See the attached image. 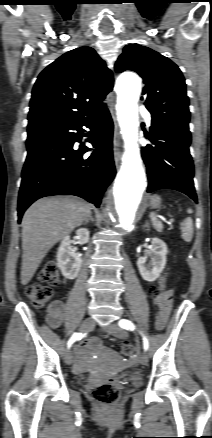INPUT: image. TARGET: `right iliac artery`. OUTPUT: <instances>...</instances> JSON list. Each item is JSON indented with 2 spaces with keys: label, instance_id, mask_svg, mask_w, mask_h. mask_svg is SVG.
Here are the masks:
<instances>
[{
  "label": "right iliac artery",
  "instance_id": "obj_1",
  "mask_svg": "<svg viewBox=\"0 0 212 438\" xmlns=\"http://www.w3.org/2000/svg\"><path fill=\"white\" fill-rule=\"evenodd\" d=\"M85 336H86V334H83V333H74L71 336V338L69 339V341L67 343V347L70 348L76 340H81Z\"/></svg>",
  "mask_w": 212,
  "mask_h": 438
}]
</instances>
